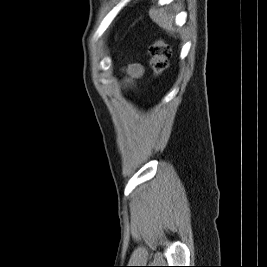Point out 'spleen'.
Masks as SVG:
<instances>
[{"label":"spleen","mask_w":267,"mask_h":267,"mask_svg":"<svg viewBox=\"0 0 267 267\" xmlns=\"http://www.w3.org/2000/svg\"><path fill=\"white\" fill-rule=\"evenodd\" d=\"M149 14L153 21L168 32L174 33L179 31V29L175 27L173 14L168 12L166 9L153 8L149 11Z\"/></svg>","instance_id":"3e777b00"}]
</instances>
